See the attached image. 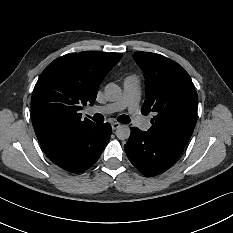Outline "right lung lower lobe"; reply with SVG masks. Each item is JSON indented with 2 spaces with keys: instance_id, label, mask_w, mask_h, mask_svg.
Returning a JSON list of instances; mask_svg holds the SVG:
<instances>
[{
  "instance_id": "98d812e1",
  "label": "right lung lower lobe",
  "mask_w": 233,
  "mask_h": 233,
  "mask_svg": "<svg viewBox=\"0 0 233 233\" xmlns=\"http://www.w3.org/2000/svg\"><path fill=\"white\" fill-rule=\"evenodd\" d=\"M111 135L108 123L83 132L59 147L44 151L50 160L71 173H80L91 167L100 157Z\"/></svg>"
}]
</instances>
